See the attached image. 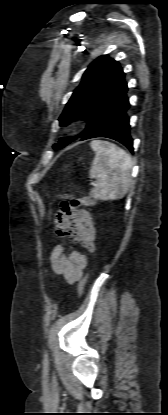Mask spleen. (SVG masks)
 <instances>
[{"label": "spleen", "instance_id": "obj_1", "mask_svg": "<svg viewBox=\"0 0 168 415\" xmlns=\"http://www.w3.org/2000/svg\"><path fill=\"white\" fill-rule=\"evenodd\" d=\"M95 157L90 177L96 179L92 195L100 200H118L128 192L131 181L132 160L117 145L94 140L90 143Z\"/></svg>", "mask_w": 168, "mask_h": 415}]
</instances>
